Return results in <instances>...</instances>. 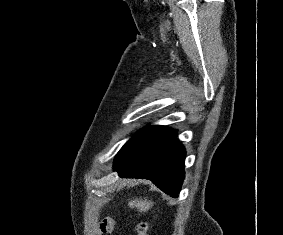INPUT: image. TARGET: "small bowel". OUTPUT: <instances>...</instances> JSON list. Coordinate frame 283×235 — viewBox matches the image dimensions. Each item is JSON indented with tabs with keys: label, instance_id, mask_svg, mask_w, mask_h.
<instances>
[{
	"label": "small bowel",
	"instance_id": "c3829d8e",
	"mask_svg": "<svg viewBox=\"0 0 283 235\" xmlns=\"http://www.w3.org/2000/svg\"><path fill=\"white\" fill-rule=\"evenodd\" d=\"M100 229L103 234L111 233L113 229V222L110 219H104L100 224Z\"/></svg>",
	"mask_w": 283,
	"mask_h": 235
}]
</instances>
